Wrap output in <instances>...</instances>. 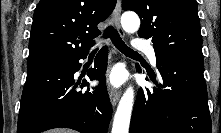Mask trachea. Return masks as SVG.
<instances>
[{
	"label": "trachea",
	"mask_w": 221,
	"mask_h": 133,
	"mask_svg": "<svg viewBox=\"0 0 221 133\" xmlns=\"http://www.w3.org/2000/svg\"><path fill=\"white\" fill-rule=\"evenodd\" d=\"M104 37L110 38L115 47L120 50L122 53L132 56H140L137 52L133 51L131 48H129L121 39L118 32L112 27L108 26L104 32ZM97 49L94 50L96 52Z\"/></svg>",
	"instance_id": "3493384b"
}]
</instances>
